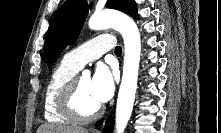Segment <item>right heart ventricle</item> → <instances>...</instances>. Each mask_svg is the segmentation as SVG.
Here are the masks:
<instances>
[{"label": "right heart ventricle", "mask_w": 221, "mask_h": 133, "mask_svg": "<svg viewBox=\"0 0 221 133\" xmlns=\"http://www.w3.org/2000/svg\"><path fill=\"white\" fill-rule=\"evenodd\" d=\"M79 70L64 60L51 72L44 89L43 111L46 121L68 124L70 120L61 114L57 107V95L61 87L72 79Z\"/></svg>", "instance_id": "1"}]
</instances>
